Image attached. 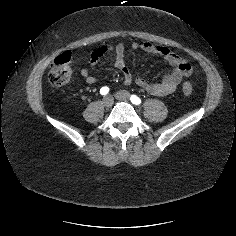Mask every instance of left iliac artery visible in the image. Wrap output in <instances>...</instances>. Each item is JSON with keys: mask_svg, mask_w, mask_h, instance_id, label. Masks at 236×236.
Returning a JSON list of instances; mask_svg holds the SVG:
<instances>
[{"mask_svg": "<svg viewBox=\"0 0 236 236\" xmlns=\"http://www.w3.org/2000/svg\"><path fill=\"white\" fill-rule=\"evenodd\" d=\"M130 100L135 105L141 104V99L136 95H131Z\"/></svg>", "mask_w": 236, "mask_h": 236, "instance_id": "1", "label": "left iliac artery"}]
</instances>
